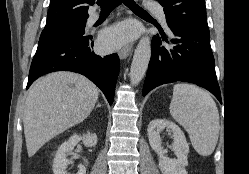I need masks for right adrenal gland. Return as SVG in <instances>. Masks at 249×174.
I'll list each match as a JSON object with an SVG mask.
<instances>
[{
  "mask_svg": "<svg viewBox=\"0 0 249 174\" xmlns=\"http://www.w3.org/2000/svg\"><path fill=\"white\" fill-rule=\"evenodd\" d=\"M98 107H101V104H100V103H98V104L96 105V108H98Z\"/></svg>",
  "mask_w": 249,
  "mask_h": 174,
  "instance_id": "right-adrenal-gland-1",
  "label": "right adrenal gland"
}]
</instances>
